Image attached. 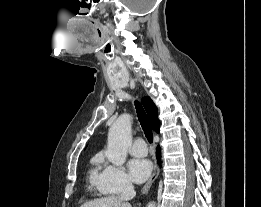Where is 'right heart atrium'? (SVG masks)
Returning <instances> with one entry per match:
<instances>
[{"label": "right heart atrium", "mask_w": 261, "mask_h": 207, "mask_svg": "<svg viewBox=\"0 0 261 207\" xmlns=\"http://www.w3.org/2000/svg\"><path fill=\"white\" fill-rule=\"evenodd\" d=\"M97 189L108 195L119 194L132 188V183L123 168L105 163L96 179Z\"/></svg>", "instance_id": "1"}]
</instances>
